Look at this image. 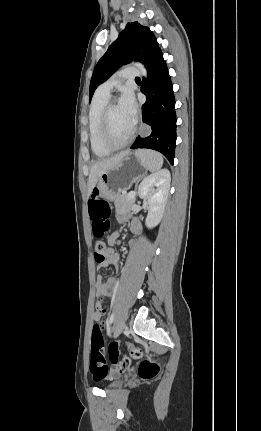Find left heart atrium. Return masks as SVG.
<instances>
[{"label":"left heart atrium","instance_id":"39dd6f15","mask_svg":"<svg viewBox=\"0 0 261 431\" xmlns=\"http://www.w3.org/2000/svg\"><path fill=\"white\" fill-rule=\"evenodd\" d=\"M119 107L127 115L130 121L135 124L137 118V105L132 92L125 90L122 93L119 99Z\"/></svg>","mask_w":261,"mask_h":431}]
</instances>
